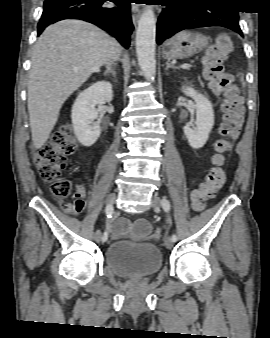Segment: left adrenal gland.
Masks as SVG:
<instances>
[{
  "label": "left adrenal gland",
  "instance_id": "obj_1",
  "mask_svg": "<svg viewBox=\"0 0 270 338\" xmlns=\"http://www.w3.org/2000/svg\"><path fill=\"white\" fill-rule=\"evenodd\" d=\"M169 68H175L174 65L170 64L169 62H166V68L165 70H168Z\"/></svg>",
  "mask_w": 270,
  "mask_h": 338
}]
</instances>
